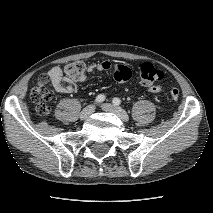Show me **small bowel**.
Returning a JSON list of instances; mask_svg holds the SVG:
<instances>
[{
	"label": "small bowel",
	"mask_w": 213,
	"mask_h": 213,
	"mask_svg": "<svg viewBox=\"0 0 213 213\" xmlns=\"http://www.w3.org/2000/svg\"><path fill=\"white\" fill-rule=\"evenodd\" d=\"M113 70L112 64L108 61H104L90 66V71H98L109 73ZM47 82L49 81L57 94H69L75 90V83L72 79L65 76L63 70L58 67H52L47 76L45 77ZM151 93H158V86H151L148 89Z\"/></svg>",
	"instance_id": "1"
}]
</instances>
